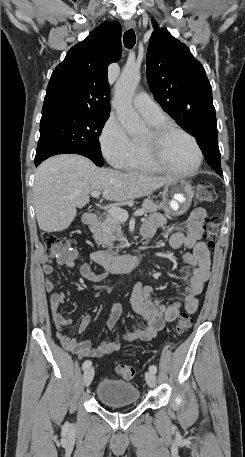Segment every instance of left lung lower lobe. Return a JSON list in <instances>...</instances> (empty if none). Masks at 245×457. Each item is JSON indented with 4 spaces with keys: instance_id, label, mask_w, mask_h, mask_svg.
I'll return each mask as SVG.
<instances>
[{
    "instance_id": "left-lung-lower-lobe-1",
    "label": "left lung lower lobe",
    "mask_w": 245,
    "mask_h": 457,
    "mask_svg": "<svg viewBox=\"0 0 245 457\" xmlns=\"http://www.w3.org/2000/svg\"><path fill=\"white\" fill-rule=\"evenodd\" d=\"M198 145L201 148L205 160L219 175L223 176L220 163V151L218 147L217 126H209L195 136Z\"/></svg>"
}]
</instances>
